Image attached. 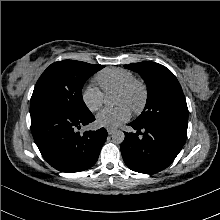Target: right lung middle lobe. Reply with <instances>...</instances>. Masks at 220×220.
<instances>
[{
    "label": "right lung middle lobe",
    "instance_id": "obj_1",
    "mask_svg": "<svg viewBox=\"0 0 220 220\" xmlns=\"http://www.w3.org/2000/svg\"><path fill=\"white\" fill-rule=\"evenodd\" d=\"M104 67L76 60L55 62L40 76L30 103H48L79 114L89 112L82 88L90 76Z\"/></svg>",
    "mask_w": 220,
    "mask_h": 220
}]
</instances>
